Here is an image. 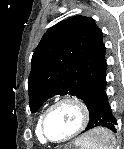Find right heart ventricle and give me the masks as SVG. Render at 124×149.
I'll return each mask as SVG.
<instances>
[{
    "mask_svg": "<svg viewBox=\"0 0 124 149\" xmlns=\"http://www.w3.org/2000/svg\"><path fill=\"white\" fill-rule=\"evenodd\" d=\"M41 117H42V114H41V115L38 117V119H37L35 133H36V136H37L38 141H39L41 144H45L46 141L43 139V137H42V135H41V132H40V121H41Z\"/></svg>",
    "mask_w": 124,
    "mask_h": 149,
    "instance_id": "1",
    "label": "right heart ventricle"
}]
</instances>
